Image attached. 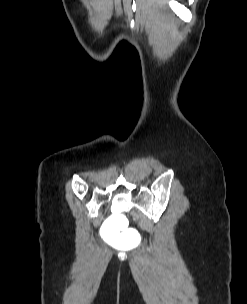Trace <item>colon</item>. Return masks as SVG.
I'll use <instances>...</instances> for the list:
<instances>
[{
  "instance_id": "5ec220e1",
  "label": "colon",
  "mask_w": 247,
  "mask_h": 304,
  "mask_svg": "<svg viewBox=\"0 0 247 304\" xmlns=\"http://www.w3.org/2000/svg\"><path fill=\"white\" fill-rule=\"evenodd\" d=\"M130 214H109L108 220L103 221V231L99 233V240H109V246L117 244V251L120 248H141L143 237L139 235L137 225H130Z\"/></svg>"
}]
</instances>
